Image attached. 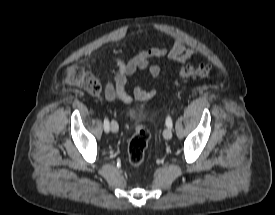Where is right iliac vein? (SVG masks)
<instances>
[{"label": "right iliac vein", "instance_id": "obj_1", "mask_svg": "<svg viewBox=\"0 0 275 215\" xmlns=\"http://www.w3.org/2000/svg\"><path fill=\"white\" fill-rule=\"evenodd\" d=\"M110 129L113 133H117L118 132V129H119V126L117 124V122L115 120H112L111 123H110Z\"/></svg>", "mask_w": 275, "mask_h": 215}]
</instances>
